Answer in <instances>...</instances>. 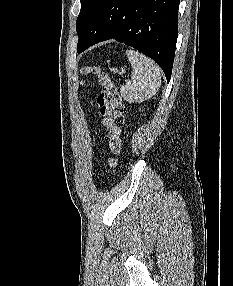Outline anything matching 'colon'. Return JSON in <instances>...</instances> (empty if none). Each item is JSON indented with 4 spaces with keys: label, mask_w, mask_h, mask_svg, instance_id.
Wrapping results in <instances>:
<instances>
[{
    "label": "colon",
    "mask_w": 233,
    "mask_h": 286,
    "mask_svg": "<svg viewBox=\"0 0 233 286\" xmlns=\"http://www.w3.org/2000/svg\"><path fill=\"white\" fill-rule=\"evenodd\" d=\"M83 73H95L99 79L101 91L98 96V105L107 129L109 149L113 154L108 159V165L114 167L117 163L116 155L121 149V132L124 125L125 108L122 98L109 73L97 67H85Z\"/></svg>",
    "instance_id": "colon-1"
}]
</instances>
